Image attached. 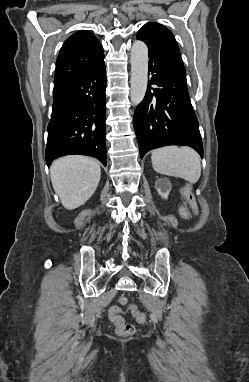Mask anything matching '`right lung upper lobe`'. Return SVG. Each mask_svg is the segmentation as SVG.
<instances>
[{"label": "right lung upper lobe", "mask_w": 249, "mask_h": 382, "mask_svg": "<svg viewBox=\"0 0 249 382\" xmlns=\"http://www.w3.org/2000/svg\"><path fill=\"white\" fill-rule=\"evenodd\" d=\"M103 55L101 43L87 31H79L63 44L56 62L54 93L60 91Z\"/></svg>", "instance_id": "obj_1"}]
</instances>
